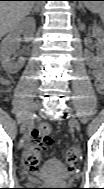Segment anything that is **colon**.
I'll list each match as a JSON object with an SVG mask.
<instances>
[{
	"label": "colon",
	"mask_w": 104,
	"mask_h": 189,
	"mask_svg": "<svg viewBox=\"0 0 104 189\" xmlns=\"http://www.w3.org/2000/svg\"><path fill=\"white\" fill-rule=\"evenodd\" d=\"M52 141V128L47 123L40 124L32 132V142L27 150L26 165L29 169L38 168L42 153ZM79 149L75 145H70L66 151V162L69 166H74L79 160Z\"/></svg>",
	"instance_id": "colon-1"
}]
</instances>
